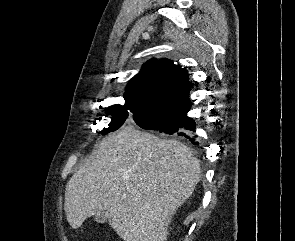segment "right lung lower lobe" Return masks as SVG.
<instances>
[{
    "mask_svg": "<svg viewBox=\"0 0 295 241\" xmlns=\"http://www.w3.org/2000/svg\"><path fill=\"white\" fill-rule=\"evenodd\" d=\"M190 109L191 104L165 116L163 119L152 123L144 129L155 130L163 134L182 136L188 138L194 145H198V142H194V139L188 136L189 132L187 130H195L194 120L187 116Z\"/></svg>",
    "mask_w": 295,
    "mask_h": 241,
    "instance_id": "1",
    "label": "right lung lower lobe"
}]
</instances>
